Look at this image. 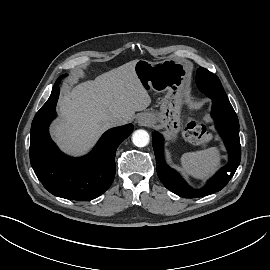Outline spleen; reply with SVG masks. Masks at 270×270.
<instances>
[{
	"label": "spleen",
	"instance_id": "spleen-1",
	"mask_svg": "<svg viewBox=\"0 0 270 270\" xmlns=\"http://www.w3.org/2000/svg\"><path fill=\"white\" fill-rule=\"evenodd\" d=\"M220 161L221 155L216 147L188 152L181 156V164L184 170L197 179L209 177L219 167Z\"/></svg>",
	"mask_w": 270,
	"mask_h": 270
}]
</instances>
